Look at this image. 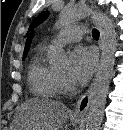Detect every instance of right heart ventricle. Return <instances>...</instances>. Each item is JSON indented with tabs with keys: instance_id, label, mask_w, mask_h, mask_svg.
<instances>
[{
	"instance_id": "e07e8e85",
	"label": "right heart ventricle",
	"mask_w": 123,
	"mask_h": 130,
	"mask_svg": "<svg viewBox=\"0 0 123 130\" xmlns=\"http://www.w3.org/2000/svg\"><path fill=\"white\" fill-rule=\"evenodd\" d=\"M52 45L40 46L29 65L28 79L32 93L40 98H55L61 90V78L48 61Z\"/></svg>"
}]
</instances>
